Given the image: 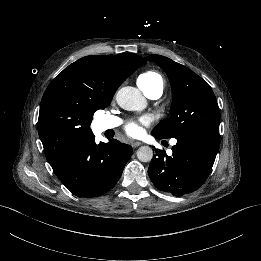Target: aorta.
Here are the masks:
<instances>
[{"label": "aorta", "mask_w": 261, "mask_h": 261, "mask_svg": "<svg viewBox=\"0 0 261 261\" xmlns=\"http://www.w3.org/2000/svg\"><path fill=\"white\" fill-rule=\"evenodd\" d=\"M117 104L128 111H142L147 106V100L135 87H122L116 94ZM137 158L141 162H150L153 158V150L149 146H141L137 150Z\"/></svg>", "instance_id": "1"}]
</instances>
